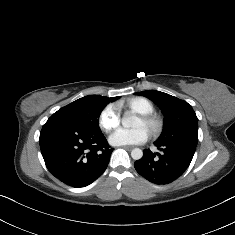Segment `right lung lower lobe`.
<instances>
[{"label":"right lung lower lobe","instance_id":"98d812e1","mask_svg":"<svg viewBox=\"0 0 235 235\" xmlns=\"http://www.w3.org/2000/svg\"><path fill=\"white\" fill-rule=\"evenodd\" d=\"M40 148L49 172L72 187H85L107 168L110 149L101 131L49 118L40 132Z\"/></svg>","mask_w":235,"mask_h":235}]
</instances>
